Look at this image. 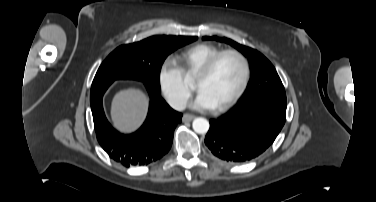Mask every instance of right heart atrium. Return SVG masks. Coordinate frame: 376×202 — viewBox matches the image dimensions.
Masks as SVG:
<instances>
[{
	"instance_id": "1",
	"label": "right heart atrium",
	"mask_w": 376,
	"mask_h": 202,
	"mask_svg": "<svg viewBox=\"0 0 376 202\" xmlns=\"http://www.w3.org/2000/svg\"><path fill=\"white\" fill-rule=\"evenodd\" d=\"M157 80L162 95L173 108L182 109L186 106L191 88L174 62L166 59L161 63Z\"/></svg>"
}]
</instances>
